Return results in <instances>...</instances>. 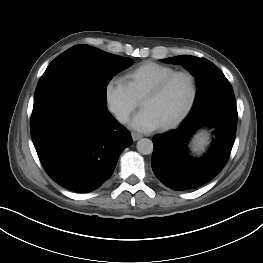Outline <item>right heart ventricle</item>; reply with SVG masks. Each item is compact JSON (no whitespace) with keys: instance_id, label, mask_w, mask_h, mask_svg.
<instances>
[{"instance_id":"obj_1","label":"right heart ventricle","mask_w":263,"mask_h":263,"mask_svg":"<svg viewBox=\"0 0 263 263\" xmlns=\"http://www.w3.org/2000/svg\"><path fill=\"white\" fill-rule=\"evenodd\" d=\"M175 69L156 62H144L123 75V81L133 96L139 101L163 77Z\"/></svg>"}]
</instances>
